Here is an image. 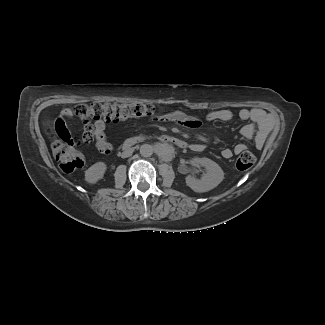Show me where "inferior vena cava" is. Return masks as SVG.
<instances>
[{"mask_svg": "<svg viewBox=\"0 0 325 325\" xmlns=\"http://www.w3.org/2000/svg\"><path fill=\"white\" fill-rule=\"evenodd\" d=\"M132 153H133V150H132V149L125 150V151L122 153V157H123V158L129 157V156L132 155Z\"/></svg>", "mask_w": 325, "mask_h": 325, "instance_id": "1", "label": "inferior vena cava"}]
</instances>
